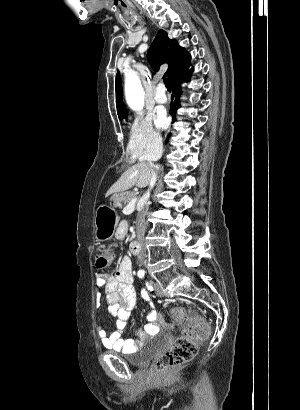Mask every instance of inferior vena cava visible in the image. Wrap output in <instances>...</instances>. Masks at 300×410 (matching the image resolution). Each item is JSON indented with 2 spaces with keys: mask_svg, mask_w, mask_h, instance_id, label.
I'll list each match as a JSON object with an SVG mask.
<instances>
[{
  "mask_svg": "<svg viewBox=\"0 0 300 410\" xmlns=\"http://www.w3.org/2000/svg\"><path fill=\"white\" fill-rule=\"evenodd\" d=\"M162 152V139L161 137H155L151 141V149L143 156L142 162L143 164H148L152 170V175L150 179V184H149V189L148 191L144 194L143 196V201L146 203L150 197V191L154 187L156 181H157V175L154 172V168L158 169V166H155L153 164L154 160H157L161 156ZM147 214V207L144 205L141 210L137 214V241L140 244V254L138 256V260L141 264L145 261V258L147 257L146 251H145V244H146V239L144 238V233L146 229V217Z\"/></svg>",
  "mask_w": 300,
  "mask_h": 410,
  "instance_id": "inferior-vena-cava-1",
  "label": "inferior vena cava"
}]
</instances>
